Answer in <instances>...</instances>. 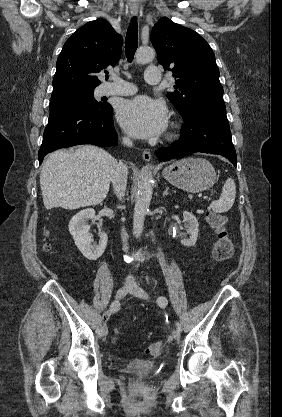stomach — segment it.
Returning <instances> with one entry per match:
<instances>
[{
  "instance_id": "obj_1",
  "label": "stomach",
  "mask_w": 282,
  "mask_h": 417,
  "mask_svg": "<svg viewBox=\"0 0 282 417\" xmlns=\"http://www.w3.org/2000/svg\"><path fill=\"white\" fill-rule=\"evenodd\" d=\"M164 178L177 188L187 192L208 190L216 182V172L206 158H181L166 166L162 172Z\"/></svg>"
}]
</instances>
